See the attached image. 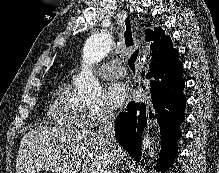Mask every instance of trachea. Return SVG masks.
<instances>
[{"label":"trachea","mask_w":219,"mask_h":173,"mask_svg":"<svg viewBox=\"0 0 219 173\" xmlns=\"http://www.w3.org/2000/svg\"><path fill=\"white\" fill-rule=\"evenodd\" d=\"M126 30L124 32L125 44L127 47L133 46V38H132V31H131V24L128 18H126ZM139 53V49H137L130 57L128 64L131 69H135V62Z\"/></svg>","instance_id":"obj_1"}]
</instances>
